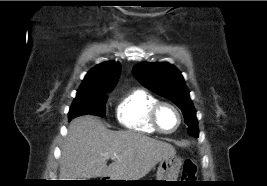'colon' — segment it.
Returning <instances> with one entry per match:
<instances>
[{
    "label": "colon",
    "mask_w": 267,
    "mask_h": 186,
    "mask_svg": "<svg viewBox=\"0 0 267 186\" xmlns=\"http://www.w3.org/2000/svg\"><path fill=\"white\" fill-rule=\"evenodd\" d=\"M197 175V163L195 159H186L183 163L181 177L184 182H193Z\"/></svg>",
    "instance_id": "1"
}]
</instances>
